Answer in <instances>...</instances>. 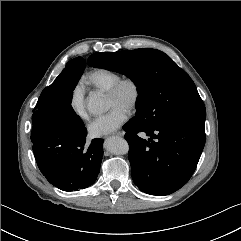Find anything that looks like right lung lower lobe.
I'll list each match as a JSON object with an SVG mask.
<instances>
[{
  "mask_svg": "<svg viewBox=\"0 0 241 241\" xmlns=\"http://www.w3.org/2000/svg\"><path fill=\"white\" fill-rule=\"evenodd\" d=\"M86 135L85 130L69 143L58 145L32 128L31 141L37 165L45 178L63 191L87 188L97 179L103 157V139H93L87 147Z\"/></svg>",
  "mask_w": 241,
  "mask_h": 241,
  "instance_id": "obj_1",
  "label": "right lung lower lobe"
}]
</instances>
